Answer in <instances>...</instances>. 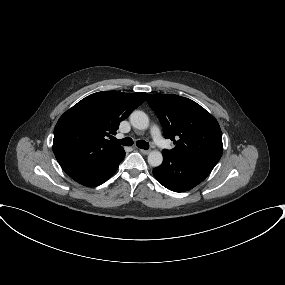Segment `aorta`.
<instances>
[{"mask_svg": "<svg viewBox=\"0 0 285 285\" xmlns=\"http://www.w3.org/2000/svg\"><path fill=\"white\" fill-rule=\"evenodd\" d=\"M130 122L134 128L139 129V130H145L149 126V118L147 114L139 110L133 111L131 113ZM162 161H163V157H162L161 152L154 150L149 153L148 163L152 167L160 166Z\"/></svg>", "mask_w": 285, "mask_h": 285, "instance_id": "obj_1", "label": "aorta"}]
</instances>
